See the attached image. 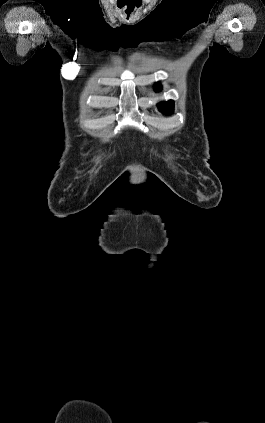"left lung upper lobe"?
Wrapping results in <instances>:
<instances>
[{
  "label": "left lung upper lobe",
  "instance_id": "obj_1",
  "mask_svg": "<svg viewBox=\"0 0 265 423\" xmlns=\"http://www.w3.org/2000/svg\"><path fill=\"white\" fill-rule=\"evenodd\" d=\"M155 89L156 91H159L160 86L156 85ZM158 107L163 114H171L174 110V102L172 100H169L167 102H161L158 104Z\"/></svg>",
  "mask_w": 265,
  "mask_h": 423
}]
</instances>
